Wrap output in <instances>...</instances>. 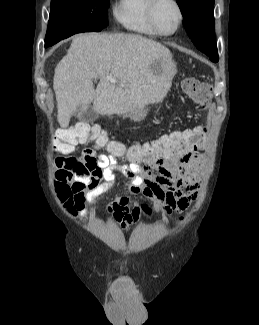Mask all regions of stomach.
Segmentation results:
<instances>
[{"label":"stomach","mask_w":259,"mask_h":325,"mask_svg":"<svg viewBox=\"0 0 259 325\" xmlns=\"http://www.w3.org/2000/svg\"><path fill=\"white\" fill-rule=\"evenodd\" d=\"M148 108H146V105L140 109H136V110H129L126 112H120L118 114L122 115L123 117H129L131 120L135 121V122H139L141 120H143L148 112Z\"/></svg>","instance_id":"stomach-1"}]
</instances>
